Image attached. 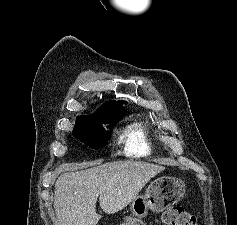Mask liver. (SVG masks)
I'll use <instances>...</instances> for the list:
<instances>
[{"label":"liver","mask_w":237,"mask_h":225,"mask_svg":"<svg viewBox=\"0 0 237 225\" xmlns=\"http://www.w3.org/2000/svg\"><path fill=\"white\" fill-rule=\"evenodd\" d=\"M164 170L160 165L120 161L61 174L55 183L54 197L59 225H96L101 219L96 212L98 197L106 214L117 213Z\"/></svg>","instance_id":"obj_1"}]
</instances>
